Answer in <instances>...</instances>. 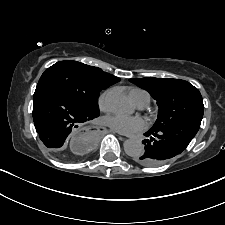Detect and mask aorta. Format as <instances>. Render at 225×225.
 I'll list each match as a JSON object with an SVG mask.
<instances>
[{
  "instance_id": "aorta-1",
  "label": "aorta",
  "mask_w": 225,
  "mask_h": 225,
  "mask_svg": "<svg viewBox=\"0 0 225 225\" xmlns=\"http://www.w3.org/2000/svg\"><path fill=\"white\" fill-rule=\"evenodd\" d=\"M108 107L115 113H124L131 109V103L121 88H113L106 95ZM124 151L127 155L136 157L144 151V146L139 140L129 139L124 142Z\"/></svg>"
}]
</instances>
